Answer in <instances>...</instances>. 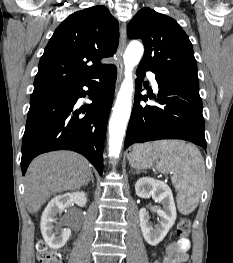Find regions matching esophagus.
I'll return each mask as SVG.
<instances>
[{
	"instance_id": "1",
	"label": "esophagus",
	"mask_w": 233,
	"mask_h": 263,
	"mask_svg": "<svg viewBox=\"0 0 233 263\" xmlns=\"http://www.w3.org/2000/svg\"><path fill=\"white\" fill-rule=\"evenodd\" d=\"M126 48V24L122 23L120 27V39H119V47L117 51V80H116V90L120 86V83L123 78L124 73V64L122 60L123 53Z\"/></svg>"
}]
</instances>
